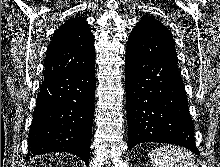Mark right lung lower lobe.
<instances>
[{"label":"right lung lower lobe","mask_w":220,"mask_h":167,"mask_svg":"<svg viewBox=\"0 0 220 167\" xmlns=\"http://www.w3.org/2000/svg\"><path fill=\"white\" fill-rule=\"evenodd\" d=\"M95 83V64L44 79L26 160L49 152H68L89 165Z\"/></svg>","instance_id":"98d812e1"}]
</instances>
